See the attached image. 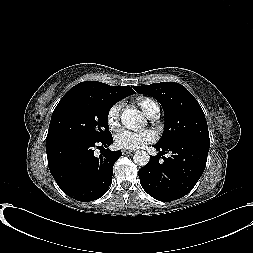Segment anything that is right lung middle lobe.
<instances>
[{
  "mask_svg": "<svg viewBox=\"0 0 253 253\" xmlns=\"http://www.w3.org/2000/svg\"><path fill=\"white\" fill-rule=\"evenodd\" d=\"M116 101L82 91H68L53 111L46 143L66 137L101 140L111 136L108 113Z\"/></svg>",
  "mask_w": 253,
  "mask_h": 253,
  "instance_id": "right-lung-middle-lobe-1",
  "label": "right lung middle lobe"
}]
</instances>
